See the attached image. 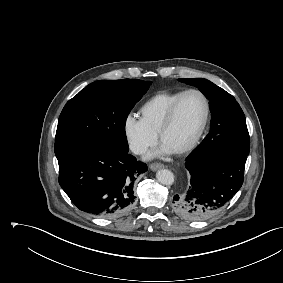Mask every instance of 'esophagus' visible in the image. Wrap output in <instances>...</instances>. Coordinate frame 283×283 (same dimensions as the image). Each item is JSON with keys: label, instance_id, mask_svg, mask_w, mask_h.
<instances>
[{"label": "esophagus", "instance_id": "esophagus-1", "mask_svg": "<svg viewBox=\"0 0 283 283\" xmlns=\"http://www.w3.org/2000/svg\"><path fill=\"white\" fill-rule=\"evenodd\" d=\"M161 168H164V165L162 163H152L150 165V169L152 171H156V170L161 169Z\"/></svg>", "mask_w": 283, "mask_h": 283}]
</instances>
